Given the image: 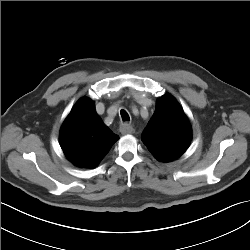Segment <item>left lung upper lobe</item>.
<instances>
[{
  "label": "left lung upper lobe",
  "mask_w": 250,
  "mask_h": 250,
  "mask_svg": "<svg viewBox=\"0 0 250 250\" xmlns=\"http://www.w3.org/2000/svg\"><path fill=\"white\" fill-rule=\"evenodd\" d=\"M192 132L188 118L178 102L169 94L160 97L156 110L141 139L160 161L169 162L189 147Z\"/></svg>",
  "instance_id": "5c2ea615"
}]
</instances>
